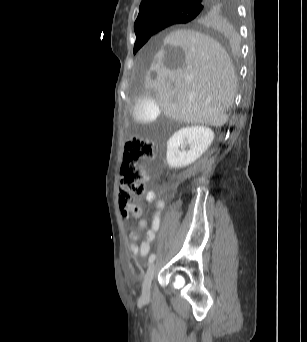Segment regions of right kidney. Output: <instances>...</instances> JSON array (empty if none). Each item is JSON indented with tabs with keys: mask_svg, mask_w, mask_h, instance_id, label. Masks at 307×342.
<instances>
[{
	"mask_svg": "<svg viewBox=\"0 0 307 342\" xmlns=\"http://www.w3.org/2000/svg\"><path fill=\"white\" fill-rule=\"evenodd\" d=\"M214 140V132L206 126H189L175 132L167 142L166 160L169 168H186L208 150ZM189 146V150H185ZM181 148V152L179 150Z\"/></svg>",
	"mask_w": 307,
	"mask_h": 342,
	"instance_id": "1",
	"label": "right kidney"
}]
</instances>
